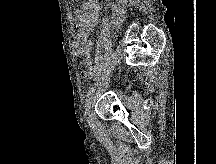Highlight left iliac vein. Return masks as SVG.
I'll return each mask as SVG.
<instances>
[{
    "label": "left iliac vein",
    "instance_id": "1",
    "mask_svg": "<svg viewBox=\"0 0 216 164\" xmlns=\"http://www.w3.org/2000/svg\"><path fill=\"white\" fill-rule=\"evenodd\" d=\"M89 114L86 115V121L90 127H95V120L93 116V104L88 108Z\"/></svg>",
    "mask_w": 216,
    "mask_h": 164
}]
</instances>
